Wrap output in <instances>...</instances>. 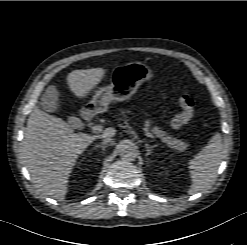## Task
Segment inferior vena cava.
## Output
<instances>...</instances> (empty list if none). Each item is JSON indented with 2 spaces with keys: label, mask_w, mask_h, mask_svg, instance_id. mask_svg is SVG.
I'll return each mask as SVG.
<instances>
[{
  "label": "inferior vena cava",
  "mask_w": 247,
  "mask_h": 245,
  "mask_svg": "<svg viewBox=\"0 0 247 245\" xmlns=\"http://www.w3.org/2000/svg\"><path fill=\"white\" fill-rule=\"evenodd\" d=\"M102 144L103 145H114L115 142L110 138H104L103 141H102Z\"/></svg>",
  "instance_id": "602c4592"
}]
</instances>
